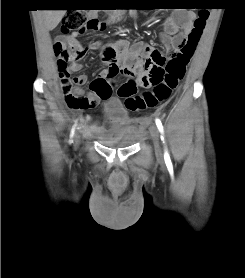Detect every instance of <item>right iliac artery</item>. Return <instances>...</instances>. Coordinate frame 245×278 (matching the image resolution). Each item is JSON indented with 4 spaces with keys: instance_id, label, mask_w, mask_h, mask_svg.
Segmentation results:
<instances>
[{
    "instance_id": "82829eb1",
    "label": "right iliac artery",
    "mask_w": 245,
    "mask_h": 278,
    "mask_svg": "<svg viewBox=\"0 0 245 278\" xmlns=\"http://www.w3.org/2000/svg\"><path fill=\"white\" fill-rule=\"evenodd\" d=\"M74 131H75V125L73 126V128L71 129V133H70V143L72 142V137L74 135Z\"/></svg>"
}]
</instances>
